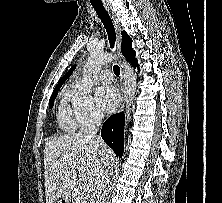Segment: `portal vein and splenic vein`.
Masks as SVG:
<instances>
[{"label":"portal vein and splenic vein","mask_w":222,"mask_h":203,"mask_svg":"<svg viewBox=\"0 0 222 203\" xmlns=\"http://www.w3.org/2000/svg\"><path fill=\"white\" fill-rule=\"evenodd\" d=\"M82 187H83V189H84L85 191H88V190H90V189L93 188V185H92L91 182H84V183L82 184Z\"/></svg>","instance_id":"portal-vein-and-splenic-vein-1"}]
</instances>
